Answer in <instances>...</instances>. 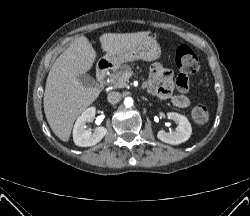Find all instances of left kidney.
<instances>
[{
    "mask_svg": "<svg viewBox=\"0 0 250 216\" xmlns=\"http://www.w3.org/2000/svg\"><path fill=\"white\" fill-rule=\"evenodd\" d=\"M167 117L177 123L176 131L167 133L164 130H160L157 134L158 139L171 145L186 142L192 133V127L187 117L175 112L168 113Z\"/></svg>",
    "mask_w": 250,
    "mask_h": 216,
    "instance_id": "5707ae66",
    "label": "left kidney"
}]
</instances>
